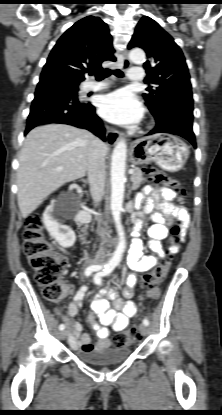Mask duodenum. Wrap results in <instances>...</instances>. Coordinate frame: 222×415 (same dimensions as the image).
<instances>
[{"label": "duodenum", "instance_id": "obj_1", "mask_svg": "<svg viewBox=\"0 0 222 415\" xmlns=\"http://www.w3.org/2000/svg\"><path fill=\"white\" fill-rule=\"evenodd\" d=\"M89 219H90V214L87 211L82 210L79 214L80 222L86 223V222H88Z\"/></svg>", "mask_w": 222, "mask_h": 415}]
</instances>
